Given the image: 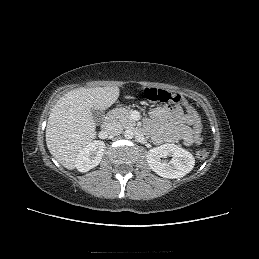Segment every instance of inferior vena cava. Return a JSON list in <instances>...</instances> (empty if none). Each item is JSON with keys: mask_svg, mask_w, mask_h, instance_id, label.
Here are the masks:
<instances>
[{"mask_svg": "<svg viewBox=\"0 0 259 259\" xmlns=\"http://www.w3.org/2000/svg\"><path fill=\"white\" fill-rule=\"evenodd\" d=\"M122 130H123L122 126L115 122L109 123L105 128V132L111 136H116V135L121 134Z\"/></svg>", "mask_w": 259, "mask_h": 259, "instance_id": "inferior-vena-cava-1", "label": "inferior vena cava"}]
</instances>
